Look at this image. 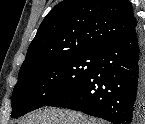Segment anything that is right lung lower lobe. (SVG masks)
I'll return each instance as SVG.
<instances>
[{
    "mask_svg": "<svg viewBox=\"0 0 145 124\" xmlns=\"http://www.w3.org/2000/svg\"><path fill=\"white\" fill-rule=\"evenodd\" d=\"M139 27L105 46L88 75L46 106L69 108L113 124H134L145 109V49Z\"/></svg>",
    "mask_w": 145,
    "mask_h": 124,
    "instance_id": "right-lung-lower-lobe-1",
    "label": "right lung lower lobe"
}]
</instances>
